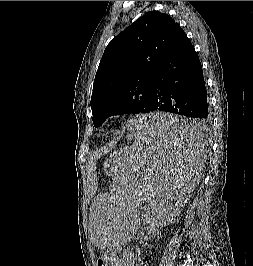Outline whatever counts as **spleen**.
<instances>
[{
	"label": "spleen",
	"mask_w": 253,
	"mask_h": 266,
	"mask_svg": "<svg viewBox=\"0 0 253 266\" xmlns=\"http://www.w3.org/2000/svg\"><path fill=\"white\" fill-rule=\"evenodd\" d=\"M119 153H112L111 207H93L88 223L93 246L133 248L136 229L157 226L183 204L201 177L205 123L177 111H148L129 117ZM145 210L144 220H138ZM163 226V223H160Z\"/></svg>",
	"instance_id": "obj_1"
}]
</instances>
